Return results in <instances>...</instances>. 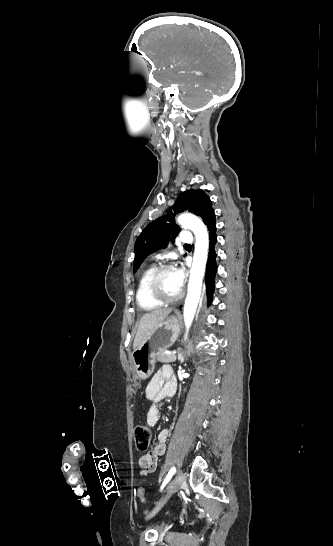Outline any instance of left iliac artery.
<instances>
[{
	"instance_id": "obj_1",
	"label": "left iliac artery",
	"mask_w": 333,
	"mask_h": 546,
	"mask_svg": "<svg viewBox=\"0 0 333 546\" xmlns=\"http://www.w3.org/2000/svg\"><path fill=\"white\" fill-rule=\"evenodd\" d=\"M176 472V469L175 467H172L169 471V473L167 474L166 478L164 479L163 481V484L161 486V490L164 488V486L170 481V479L172 478V476L174 475V473Z\"/></svg>"
}]
</instances>
